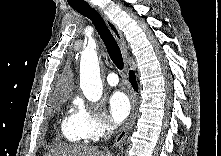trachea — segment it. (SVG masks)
Segmentation results:
<instances>
[{
  "mask_svg": "<svg viewBox=\"0 0 221 156\" xmlns=\"http://www.w3.org/2000/svg\"><path fill=\"white\" fill-rule=\"evenodd\" d=\"M67 1L73 9L92 21L98 34L100 35L102 41L106 46L111 60L119 70H122L124 67V63L120 48L101 15L83 0H71L72 2H70V0Z\"/></svg>",
  "mask_w": 221,
  "mask_h": 156,
  "instance_id": "trachea-1",
  "label": "trachea"
}]
</instances>
